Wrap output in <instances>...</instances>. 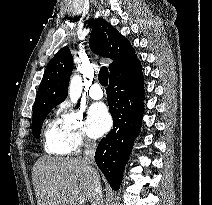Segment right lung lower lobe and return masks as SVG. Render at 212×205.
<instances>
[{
	"mask_svg": "<svg viewBox=\"0 0 212 205\" xmlns=\"http://www.w3.org/2000/svg\"><path fill=\"white\" fill-rule=\"evenodd\" d=\"M107 99L114 126L99 142L95 161L112 189L117 190L144 111V79L137 58L110 75Z\"/></svg>",
	"mask_w": 212,
	"mask_h": 205,
	"instance_id": "obj_1",
	"label": "right lung lower lobe"
}]
</instances>
